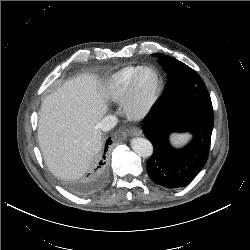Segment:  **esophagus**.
Masks as SVG:
<instances>
[{"instance_id":"1","label":"esophagus","mask_w":250,"mask_h":250,"mask_svg":"<svg viewBox=\"0 0 250 250\" xmlns=\"http://www.w3.org/2000/svg\"><path fill=\"white\" fill-rule=\"evenodd\" d=\"M128 134L130 136H140L142 134V131L138 127H132L128 130Z\"/></svg>"}]
</instances>
